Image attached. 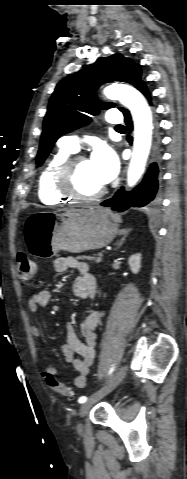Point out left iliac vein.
Masks as SVG:
<instances>
[{"label":"left iliac vein","instance_id":"4c4485c4","mask_svg":"<svg viewBox=\"0 0 187 479\" xmlns=\"http://www.w3.org/2000/svg\"><path fill=\"white\" fill-rule=\"evenodd\" d=\"M125 374H126V366H122L118 372L116 373L115 377L111 380V382L98 394V396H103L109 392H111L113 389H115L118 384L123 380V378L125 377ZM97 398V397H96ZM95 398V399H96ZM95 399H92L90 401H87L85 403H83L80 408H79V417L80 418H83L84 416H86L91 408V406L93 405V403L95 402ZM83 430V426L82 424L79 422L77 424V431L79 433H81Z\"/></svg>","mask_w":187,"mask_h":479}]
</instances>
